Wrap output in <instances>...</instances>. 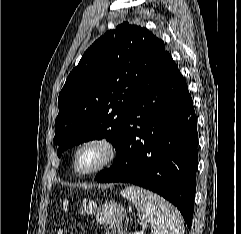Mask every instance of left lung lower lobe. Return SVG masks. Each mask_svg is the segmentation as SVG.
Listing matches in <instances>:
<instances>
[{"instance_id": "left-lung-lower-lobe-1", "label": "left lung lower lobe", "mask_w": 241, "mask_h": 234, "mask_svg": "<svg viewBox=\"0 0 241 234\" xmlns=\"http://www.w3.org/2000/svg\"><path fill=\"white\" fill-rule=\"evenodd\" d=\"M197 118L187 84L165 51L139 88L124 122L116 161L100 183L127 182L174 204L192 225L196 191Z\"/></svg>"}]
</instances>
